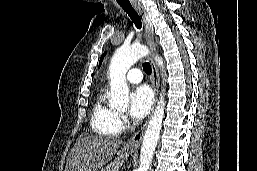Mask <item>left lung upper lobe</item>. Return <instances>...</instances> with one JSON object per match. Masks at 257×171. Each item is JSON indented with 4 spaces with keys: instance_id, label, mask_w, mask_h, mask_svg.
<instances>
[{
    "instance_id": "left-lung-upper-lobe-1",
    "label": "left lung upper lobe",
    "mask_w": 257,
    "mask_h": 171,
    "mask_svg": "<svg viewBox=\"0 0 257 171\" xmlns=\"http://www.w3.org/2000/svg\"><path fill=\"white\" fill-rule=\"evenodd\" d=\"M105 54L102 55V57L100 58V63L99 65H101L102 59L104 58Z\"/></svg>"
}]
</instances>
